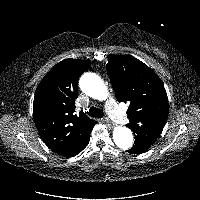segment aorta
<instances>
[{
  "label": "aorta",
  "instance_id": "obj_1",
  "mask_svg": "<svg viewBox=\"0 0 200 200\" xmlns=\"http://www.w3.org/2000/svg\"><path fill=\"white\" fill-rule=\"evenodd\" d=\"M79 86L86 95L94 99L104 100L108 95L106 84L95 73H84L80 78ZM113 140L123 150L129 149L133 145L132 132L125 126H117L114 128Z\"/></svg>",
  "mask_w": 200,
  "mask_h": 200
}]
</instances>
